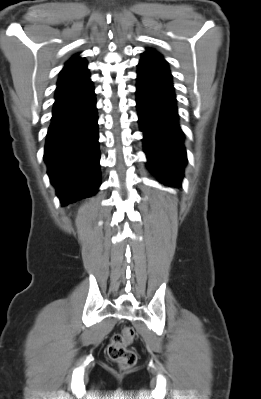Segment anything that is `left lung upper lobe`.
Returning <instances> with one entry per match:
<instances>
[{
	"label": "left lung upper lobe",
	"instance_id": "left-lung-upper-lobe-1",
	"mask_svg": "<svg viewBox=\"0 0 261 399\" xmlns=\"http://www.w3.org/2000/svg\"><path fill=\"white\" fill-rule=\"evenodd\" d=\"M140 62L153 63L167 67L166 61L153 49H147V51L143 53V57Z\"/></svg>",
	"mask_w": 261,
	"mask_h": 399
}]
</instances>
